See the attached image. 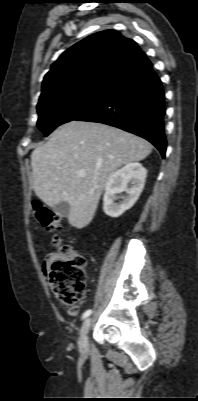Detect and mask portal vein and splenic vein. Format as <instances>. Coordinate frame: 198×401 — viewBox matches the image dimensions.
I'll return each instance as SVG.
<instances>
[{
    "instance_id": "18ae733b",
    "label": "portal vein and splenic vein",
    "mask_w": 198,
    "mask_h": 401,
    "mask_svg": "<svg viewBox=\"0 0 198 401\" xmlns=\"http://www.w3.org/2000/svg\"><path fill=\"white\" fill-rule=\"evenodd\" d=\"M77 174H78L80 177H83V176L85 175V172H84V171H79Z\"/></svg>"
}]
</instances>
